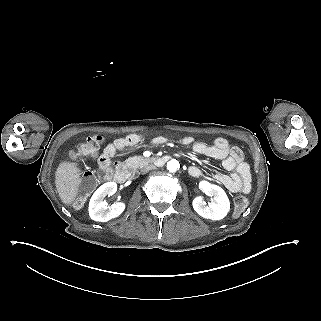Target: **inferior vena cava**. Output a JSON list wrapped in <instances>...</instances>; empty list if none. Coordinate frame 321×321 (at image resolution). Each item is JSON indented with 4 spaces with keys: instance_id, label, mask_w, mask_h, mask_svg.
<instances>
[{
    "instance_id": "1",
    "label": "inferior vena cava",
    "mask_w": 321,
    "mask_h": 321,
    "mask_svg": "<svg viewBox=\"0 0 321 321\" xmlns=\"http://www.w3.org/2000/svg\"><path fill=\"white\" fill-rule=\"evenodd\" d=\"M156 169V167L154 165H146L143 168H141V173L142 174H146L148 173L150 170H154Z\"/></svg>"
}]
</instances>
